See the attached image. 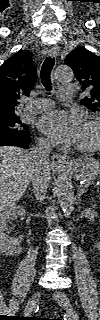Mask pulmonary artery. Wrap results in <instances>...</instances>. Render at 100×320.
Here are the masks:
<instances>
[{
  "mask_svg": "<svg viewBox=\"0 0 100 320\" xmlns=\"http://www.w3.org/2000/svg\"><path fill=\"white\" fill-rule=\"evenodd\" d=\"M75 93V86L72 84L61 85L58 88V96L62 101H70ZM53 106L50 99H37L26 104V111L29 113H39L46 111Z\"/></svg>",
  "mask_w": 100,
  "mask_h": 320,
  "instance_id": "obj_1",
  "label": "pulmonary artery"
}]
</instances>
